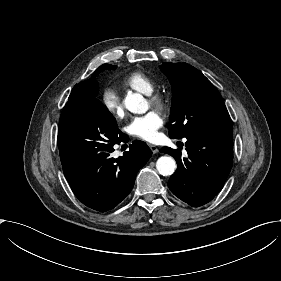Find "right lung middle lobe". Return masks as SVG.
I'll use <instances>...</instances> for the list:
<instances>
[{"instance_id": "obj_1", "label": "right lung middle lobe", "mask_w": 281, "mask_h": 281, "mask_svg": "<svg viewBox=\"0 0 281 281\" xmlns=\"http://www.w3.org/2000/svg\"><path fill=\"white\" fill-rule=\"evenodd\" d=\"M116 68V66L113 65H109L108 69L114 70Z\"/></svg>"}]
</instances>
